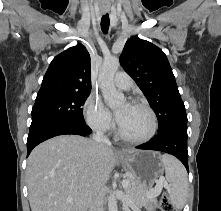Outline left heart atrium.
I'll return each mask as SVG.
<instances>
[{
  "instance_id": "1",
  "label": "left heart atrium",
  "mask_w": 221,
  "mask_h": 211,
  "mask_svg": "<svg viewBox=\"0 0 221 211\" xmlns=\"http://www.w3.org/2000/svg\"><path fill=\"white\" fill-rule=\"evenodd\" d=\"M120 118H121V113H117V120H118V122L120 121Z\"/></svg>"
}]
</instances>
